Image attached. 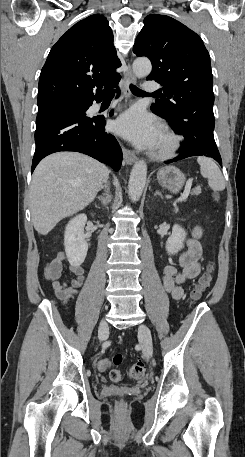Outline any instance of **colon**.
I'll list each match as a JSON object with an SVG mask.
<instances>
[{
    "label": "colon",
    "mask_w": 245,
    "mask_h": 457,
    "mask_svg": "<svg viewBox=\"0 0 245 457\" xmlns=\"http://www.w3.org/2000/svg\"><path fill=\"white\" fill-rule=\"evenodd\" d=\"M213 266H209L201 277L199 278L194 290L191 293L193 300H198L202 293L210 286L212 281ZM122 362V356L120 354L115 355L112 358L101 359L98 363V368L101 371H109L110 379L114 382H118L122 378V373L117 369H111L112 365H119ZM145 374V366L142 362H137L129 367L128 375L130 378L138 380L141 379ZM117 406L123 409L125 403L120 400L117 402Z\"/></svg>",
    "instance_id": "5ec220e1"
}]
</instances>
